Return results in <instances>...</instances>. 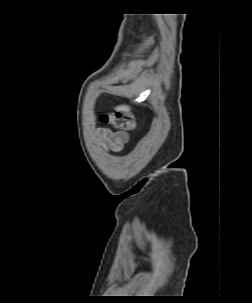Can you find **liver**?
I'll return each mask as SVG.
<instances>
[{"label": "liver", "mask_w": 252, "mask_h": 303, "mask_svg": "<svg viewBox=\"0 0 252 303\" xmlns=\"http://www.w3.org/2000/svg\"><path fill=\"white\" fill-rule=\"evenodd\" d=\"M117 109L120 111H129L130 107L126 106V105H121V106H118Z\"/></svg>", "instance_id": "liver-1"}]
</instances>
